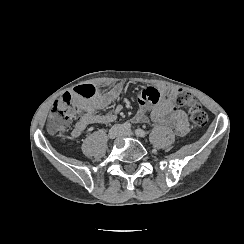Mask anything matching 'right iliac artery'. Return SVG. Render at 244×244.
Here are the masks:
<instances>
[{
  "label": "right iliac artery",
  "mask_w": 244,
  "mask_h": 244,
  "mask_svg": "<svg viewBox=\"0 0 244 244\" xmlns=\"http://www.w3.org/2000/svg\"><path fill=\"white\" fill-rule=\"evenodd\" d=\"M122 126H123L124 129H130L131 128V124L129 122L123 123Z\"/></svg>",
  "instance_id": "obj_1"
}]
</instances>
